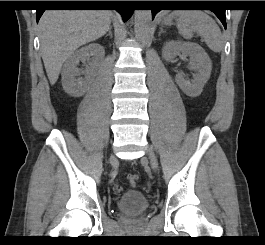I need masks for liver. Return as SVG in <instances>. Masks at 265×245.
Listing matches in <instances>:
<instances>
[{
  "label": "liver",
  "mask_w": 265,
  "mask_h": 245,
  "mask_svg": "<svg viewBox=\"0 0 265 245\" xmlns=\"http://www.w3.org/2000/svg\"><path fill=\"white\" fill-rule=\"evenodd\" d=\"M113 13L107 10H48L39 21L41 54L51 85L63 63L80 46L108 32Z\"/></svg>",
  "instance_id": "liver-1"
}]
</instances>
